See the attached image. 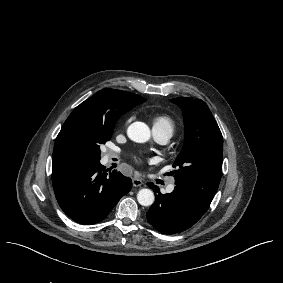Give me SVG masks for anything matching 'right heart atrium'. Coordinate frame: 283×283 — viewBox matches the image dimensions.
<instances>
[{
  "label": "right heart atrium",
  "mask_w": 283,
  "mask_h": 283,
  "mask_svg": "<svg viewBox=\"0 0 283 283\" xmlns=\"http://www.w3.org/2000/svg\"><path fill=\"white\" fill-rule=\"evenodd\" d=\"M130 119L127 120L126 124L129 122Z\"/></svg>",
  "instance_id": "obj_1"
}]
</instances>
